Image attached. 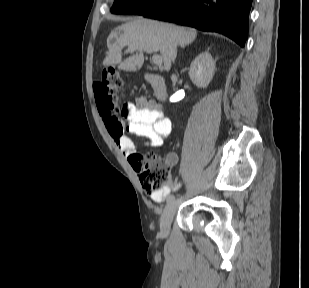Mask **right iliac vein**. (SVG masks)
I'll return each mask as SVG.
<instances>
[{
    "mask_svg": "<svg viewBox=\"0 0 309 288\" xmlns=\"http://www.w3.org/2000/svg\"><path fill=\"white\" fill-rule=\"evenodd\" d=\"M180 202V199L170 200L162 213L160 230L161 233L165 236L169 233L171 222Z\"/></svg>",
    "mask_w": 309,
    "mask_h": 288,
    "instance_id": "1",
    "label": "right iliac vein"
}]
</instances>
